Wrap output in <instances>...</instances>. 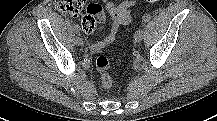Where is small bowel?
I'll use <instances>...</instances> for the list:
<instances>
[{
  "label": "small bowel",
  "instance_id": "1",
  "mask_svg": "<svg viewBox=\"0 0 217 121\" xmlns=\"http://www.w3.org/2000/svg\"><path fill=\"white\" fill-rule=\"evenodd\" d=\"M103 2L111 16V23L106 37L90 44V48L94 52L101 51L108 44L115 41L119 27L132 21V8L136 5L137 0H123L118 4L109 0H103Z\"/></svg>",
  "mask_w": 217,
  "mask_h": 121
}]
</instances>
